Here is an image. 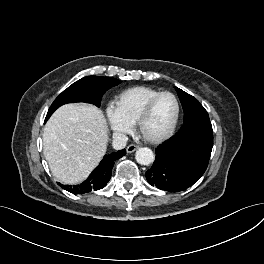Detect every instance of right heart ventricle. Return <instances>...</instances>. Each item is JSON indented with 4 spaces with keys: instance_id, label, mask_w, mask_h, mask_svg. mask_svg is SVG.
<instances>
[{
    "instance_id": "e07e8e85",
    "label": "right heart ventricle",
    "mask_w": 264,
    "mask_h": 264,
    "mask_svg": "<svg viewBox=\"0 0 264 264\" xmlns=\"http://www.w3.org/2000/svg\"><path fill=\"white\" fill-rule=\"evenodd\" d=\"M158 93L159 90L147 86L128 88L115 97L114 106L124 119L134 124L145 104Z\"/></svg>"
}]
</instances>
